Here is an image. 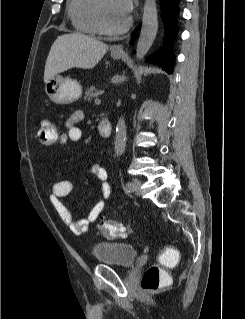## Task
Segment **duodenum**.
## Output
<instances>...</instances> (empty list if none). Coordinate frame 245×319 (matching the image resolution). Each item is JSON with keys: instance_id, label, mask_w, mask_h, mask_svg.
I'll list each match as a JSON object with an SVG mask.
<instances>
[{"instance_id": "410a0bca", "label": "duodenum", "mask_w": 245, "mask_h": 319, "mask_svg": "<svg viewBox=\"0 0 245 319\" xmlns=\"http://www.w3.org/2000/svg\"><path fill=\"white\" fill-rule=\"evenodd\" d=\"M99 133L106 138L112 134V124L107 118H102L98 125Z\"/></svg>"}]
</instances>
